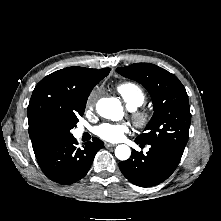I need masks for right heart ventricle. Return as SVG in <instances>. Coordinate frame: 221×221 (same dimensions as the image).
<instances>
[{
    "label": "right heart ventricle",
    "instance_id": "obj_1",
    "mask_svg": "<svg viewBox=\"0 0 221 221\" xmlns=\"http://www.w3.org/2000/svg\"><path fill=\"white\" fill-rule=\"evenodd\" d=\"M117 91L126 102L127 106L135 109L141 106L146 100L144 90L136 83L123 82L117 86Z\"/></svg>",
    "mask_w": 221,
    "mask_h": 221
}]
</instances>
